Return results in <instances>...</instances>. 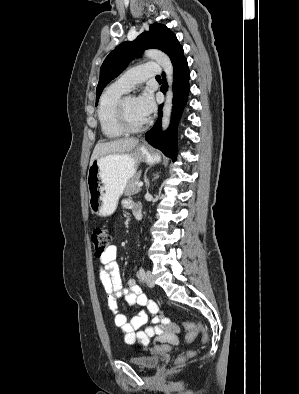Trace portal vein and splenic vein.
I'll list each match as a JSON object with an SVG mask.
<instances>
[{"mask_svg":"<svg viewBox=\"0 0 299 394\" xmlns=\"http://www.w3.org/2000/svg\"><path fill=\"white\" fill-rule=\"evenodd\" d=\"M139 188L143 186V182H139L137 185Z\"/></svg>","mask_w":299,"mask_h":394,"instance_id":"1","label":"portal vein and splenic vein"}]
</instances>
